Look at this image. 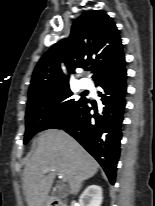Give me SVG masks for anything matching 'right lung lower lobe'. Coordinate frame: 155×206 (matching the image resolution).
<instances>
[{"instance_id": "98d812e1", "label": "right lung lower lobe", "mask_w": 155, "mask_h": 206, "mask_svg": "<svg viewBox=\"0 0 155 206\" xmlns=\"http://www.w3.org/2000/svg\"><path fill=\"white\" fill-rule=\"evenodd\" d=\"M125 60L117 69L95 81L102 92L101 113L84 98L66 118L53 126L73 136L103 167L111 184L115 183L120 154L121 123L126 96ZM95 113L91 114L90 110Z\"/></svg>"}]
</instances>
